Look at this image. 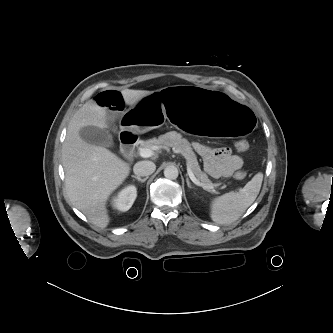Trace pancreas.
<instances>
[{
	"label": "pancreas",
	"mask_w": 333,
	"mask_h": 333,
	"mask_svg": "<svg viewBox=\"0 0 333 333\" xmlns=\"http://www.w3.org/2000/svg\"><path fill=\"white\" fill-rule=\"evenodd\" d=\"M142 146L145 148H163V147H173L179 153H181L187 160V165L190 167L194 175L204 184L212 185L211 181L208 179L206 173L201 171L200 166L197 161L196 154L194 153L191 144L187 139L182 138L180 133L176 131H170L163 135H160L158 138H153L146 141ZM223 186L222 188H225ZM209 191L215 192L213 189H207Z\"/></svg>",
	"instance_id": "pancreas-1"
}]
</instances>
